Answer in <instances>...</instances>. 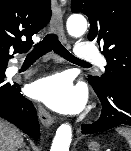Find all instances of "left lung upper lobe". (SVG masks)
Masks as SVG:
<instances>
[{"mask_svg": "<svg viewBox=\"0 0 131 151\" xmlns=\"http://www.w3.org/2000/svg\"><path fill=\"white\" fill-rule=\"evenodd\" d=\"M90 21L89 41L103 48L105 74L88 76L93 88L131 94V0H72Z\"/></svg>", "mask_w": 131, "mask_h": 151, "instance_id": "left-lung-upper-lobe-1", "label": "left lung upper lobe"}]
</instances>
